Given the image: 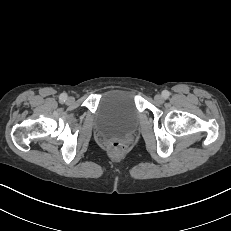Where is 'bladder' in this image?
<instances>
[{
    "instance_id": "31cf9c89",
    "label": "bladder",
    "mask_w": 231,
    "mask_h": 231,
    "mask_svg": "<svg viewBox=\"0 0 231 231\" xmlns=\"http://www.w3.org/2000/svg\"><path fill=\"white\" fill-rule=\"evenodd\" d=\"M139 111L133 91L113 89L102 95L94 112V128L104 138L123 136L137 124Z\"/></svg>"
}]
</instances>
